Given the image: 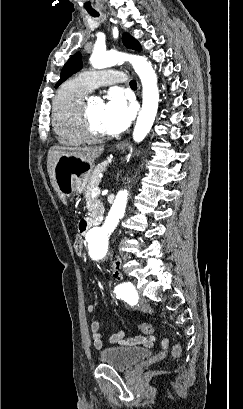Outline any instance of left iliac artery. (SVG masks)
<instances>
[{
    "instance_id": "left-iliac-artery-1",
    "label": "left iliac artery",
    "mask_w": 243,
    "mask_h": 409,
    "mask_svg": "<svg viewBox=\"0 0 243 409\" xmlns=\"http://www.w3.org/2000/svg\"><path fill=\"white\" fill-rule=\"evenodd\" d=\"M114 292L116 293L117 298L124 299L130 304L137 302V292L130 282L117 285Z\"/></svg>"
}]
</instances>
